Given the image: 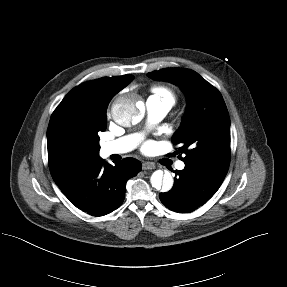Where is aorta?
Instances as JSON below:
<instances>
[{
    "label": "aorta",
    "instance_id": "1",
    "mask_svg": "<svg viewBox=\"0 0 287 287\" xmlns=\"http://www.w3.org/2000/svg\"><path fill=\"white\" fill-rule=\"evenodd\" d=\"M143 111V103L137 95L133 94L121 97L111 110L114 121L122 126L138 123L142 119ZM150 182L156 190L167 192L171 190L174 181L168 171L156 170L153 172Z\"/></svg>",
    "mask_w": 287,
    "mask_h": 287
}]
</instances>
